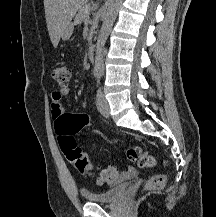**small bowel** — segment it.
<instances>
[{"instance_id":"obj_1","label":"small bowel","mask_w":216,"mask_h":217,"mask_svg":"<svg viewBox=\"0 0 216 217\" xmlns=\"http://www.w3.org/2000/svg\"><path fill=\"white\" fill-rule=\"evenodd\" d=\"M69 93L68 88H61L58 90H55L51 94V117L55 122V128L57 127V124L61 120V118L64 116V108L62 106V99L64 96H66ZM136 172L135 168L128 167L127 170L119 176L113 183H118L122 179L129 178Z\"/></svg>"}]
</instances>
